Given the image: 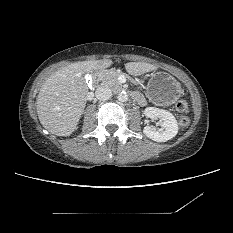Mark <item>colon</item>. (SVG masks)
I'll return each instance as SVG.
<instances>
[{"label":"colon","instance_id":"obj_1","mask_svg":"<svg viewBox=\"0 0 233 233\" xmlns=\"http://www.w3.org/2000/svg\"><path fill=\"white\" fill-rule=\"evenodd\" d=\"M175 109L179 113L178 123L180 128H186L190 123L187 115L190 111V105L186 101L180 100L176 103Z\"/></svg>","mask_w":233,"mask_h":233}]
</instances>
